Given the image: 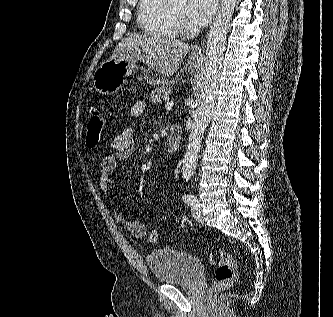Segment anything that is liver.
Returning <instances> with one entry per match:
<instances>
[{
	"label": "liver",
	"mask_w": 333,
	"mask_h": 317,
	"mask_svg": "<svg viewBox=\"0 0 333 317\" xmlns=\"http://www.w3.org/2000/svg\"><path fill=\"white\" fill-rule=\"evenodd\" d=\"M189 50L188 44L171 37L133 33L117 45L110 59L140 61L169 77L177 71Z\"/></svg>",
	"instance_id": "liver-1"
}]
</instances>
